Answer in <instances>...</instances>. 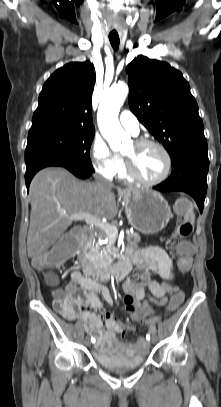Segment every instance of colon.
I'll list each match as a JSON object with an SVG mask.
<instances>
[{
  "label": "colon",
  "instance_id": "obj_1",
  "mask_svg": "<svg viewBox=\"0 0 221 407\" xmlns=\"http://www.w3.org/2000/svg\"><path fill=\"white\" fill-rule=\"evenodd\" d=\"M176 212L181 216L182 221L177 227L176 236L186 238L191 235L194 226V210L192 203L189 199L181 197L175 204ZM85 236L84 228L82 225H75L73 230H67L66 234H61L60 240L56 241V246L52 247V252H43L42 256L35 258L34 265L35 271L41 272L42 268H61L62 261H71L72 255L78 254L79 239ZM195 250V243L191 239H180L177 245V252L179 255L178 267L183 273L190 270L192 265L193 251ZM171 277L177 274L174 268L168 271ZM54 308L57 312L65 315L70 312L71 308L77 303L79 297L72 290L57 288L53 291ZM186 291L184 289H177L172 292L169 298V305L163 307L164 313H178L181 304H185ZM158 312L157 306L151 305H135L128 311V316L133 318L136 322H150L154 313Z\"/></svg>",
  "mask_w": 221,
  "mask_h": 407
}]
</instances>
